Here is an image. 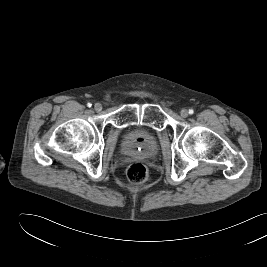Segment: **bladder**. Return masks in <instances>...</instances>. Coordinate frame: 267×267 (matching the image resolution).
I'll return each mask as SVG.
<instances>
[{"label":"bladder","mask_w":267,"mask_h":267,"mask_svg":"<svg viewBox=\"0 0 267 267\" xmlns=\"http://www.w3.org/2000/svg\"><path fill=\"white\" fill-rule=\"evenodd\" d=\"M122 149L128 155L150 158L158 152V140L151 130L141 126L133 127L125 132Z\"/></svg>","instance_id":"bladder-1"}]
</instances>
